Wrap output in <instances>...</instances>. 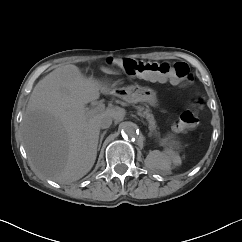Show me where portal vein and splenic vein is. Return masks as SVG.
Wrapping results in <instances>:
<instances>
[{
	"label": "portal vein and splenic vein",
	"mask_w": 242,
	"mask_h": 242,
	"mask_svg": "<svg viewBox=\"0 0 242 242\" xmlns=\"http://www.w3.org/2000/svg\"><path fill=\"white\" fill-rule=\"evenodd\" d=\"M104 110H105V104L100 103L94 109L89 110L87 113L89 115H92V114H95V113H98V112H102Z\"/></svg>",
	"instance_id": "18ae733b"
}]
</instances>
